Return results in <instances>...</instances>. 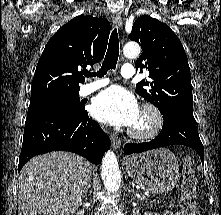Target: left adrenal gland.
<instances>
[{
  "mask_svg": "<svg viewBox=\"0 0 221 215\" xmlns=\"http://www.w3.org/2000/svg\"><path fill=\"white\" fill-rule=\"evenodd\" d=\"M128 192H133V193H134L133 188L131 187V183L129 184V190H128Z\"/></svg>",
  "mask_w": 221,
  "mask_h": 215,
  "instance_id": "obj_1",
  "label": "left adrenal gland"
}]
</instances>
